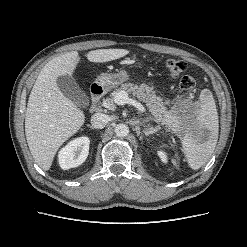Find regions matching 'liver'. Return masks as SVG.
<instances>
[{"instance_id":"6515ba94","label":"liver","mask_w":247,"mask_h":247,"mask_svg":"<svg viewBox=\"0 0 247 247\" xmlns=\"http://www.w3.org/2000/svg\"><path fill=\"white\" fill-rule=\"evenodd\" d=\"M129 54L126 49L88 52L90 62L103 63ZM80 57L77 51L50 60L40 71L31 90L25 114V135L35 162L49 170L60 146L84 124L85 115L57 86V78L72 76Z\"/></svg>"}]
</instances>
